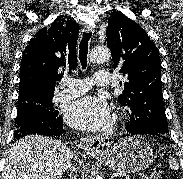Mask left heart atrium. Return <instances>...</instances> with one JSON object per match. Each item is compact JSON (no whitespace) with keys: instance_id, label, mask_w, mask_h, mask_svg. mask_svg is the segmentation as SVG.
Listing matches in <instances>:
<instances>
[{"instance_id":"obj_1","label":"left heart atrium","mask_w":183,"mask_h":179,"mask_svg":"<svg viewBox=\"0 0 183 179\" xmlns=\"http://www.w3.org/2000/svg\"><path fill=\"white\" fill-rule=\"evenodd\" d=\"M111 118L106 100L97 96H84L72 102L66 111V119L74 127L98 131L105 128Z\"/></svg>"}]
</instances>
